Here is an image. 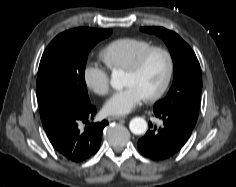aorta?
Wrapping results in <instances>:
<instances>
[{
  "instance_id": "aorta-1",
  "label": "aorta",
  "mask_w": 236,
  "mask_h": 187,
  "mask_svg": "<svg viewBox=\"0 0 236 187\" xmlns=\"http://www.w3.org/2000/svg\"><path fill=\"white\" fill-rule=\"evenodd\" d=\"M111 86L120 90L124 86V72L122 70H113L111 74ZM130 131L135 135L144 134L148 125L144 118L135 117L129 123Z\"/></svg>"
}]
</instances>
